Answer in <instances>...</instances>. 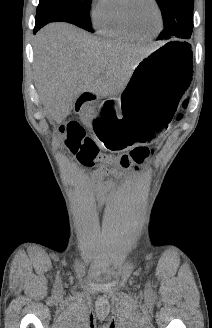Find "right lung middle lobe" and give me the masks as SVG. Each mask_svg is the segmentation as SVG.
<instances>
[{
	"label": "right lung middle lobe",
	"instance_id": "right-lung-middle-lobe-1",
	"mask_svg": "<svg viewBox=\"0 0 212 328\" xmlns=\"http://www.w3.org/2000/svg\"><path fill=\"white\" fill-rule=\"evenodd\" d=\"M92 0H39L36 21L45 24L64 21L94 32L90 24L89 7Z\"/></svg>",
	"mask_w": 212,
	"mask_h": 328
}]
</instances>
